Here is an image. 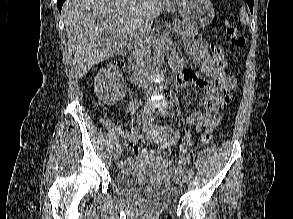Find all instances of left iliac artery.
Here are the masks:
<instances>
[{
  "instance_id": "left-iliac-artery-1",
  "label": "left iliac artery",
  "mask_w": 293,
  "mask_h": 219,
  "mask_svg": "<svg viewBox=\"0 0 293 219\" xmlns=\"http://www.w3.org/2000/svg\"><path fill=\"white\" fill-rule=\"evenodd\" d=\"M170 94H171V96L173 98V101H174L175 105L178 106L179 103H178L177 97L172 92H170ZM181 162H182V164L184 166H187V167L190 164V160H189V157L186 154V149H185L184 144L181 145Z\"/></svg>"
}]
</instances>
